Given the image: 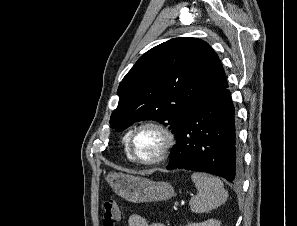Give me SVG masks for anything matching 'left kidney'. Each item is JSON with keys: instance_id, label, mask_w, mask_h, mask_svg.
Segmentation results:
<instances>
[{"instance_id": "5707ae66", "label": "left kidney", "mask_w": 297, "mask_h": 226, "mask_svg": "<svg viewBox=\"0 0 297 226\" xmlns=\"http://www.w3.org/2000/svg\"><path fill=\"white\" fill-rule=\"evenodd\" d=\"M186 226H220V221L216 219H208L201 223H188Z\"/></svg>"}]
</instances>
